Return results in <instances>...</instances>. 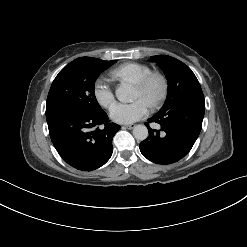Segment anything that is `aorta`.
<instances>
[{"label":"aorta","mask_w":247,"mask_h":247,"mask_svg":"<svg viewBox=\"0 0 247 247\" xmlns=\"http://www.w3.org/2000/svg\"><path fill=\"white\" fill-rule=\"evenodd\" d=\"M116 97L121 102H129L133 96V87L128 83H122L116 89ZM133 136L138 141H143L148 137V129L145 125H136L133 128Z\"/></svg>","instance_id":"1"}]
</instances>
